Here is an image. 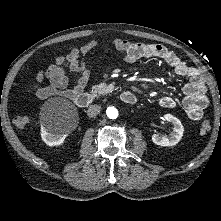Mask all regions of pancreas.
<instances>
[{"label": "pancreas", "mask_w": 221, "mask_h": 221, "mask_svg": "<svg viewBox=\"0 0 221 221\" xmlns=\"http://www.w3.org/2000/svg\"><path fill=\"white\" fill-rule=\"evenodd\" d=\"M111 91V88L106 83H100L92 86L91 92L93 94H107Z\"/></svg>", "instance_id": "obj_1"}]
</instances>
